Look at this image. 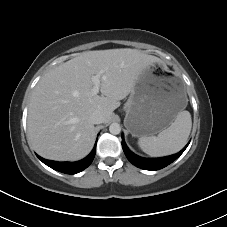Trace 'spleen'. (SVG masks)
<instances>
[{
	"instance_id": "obj_1",
	"label": "spleen",
	"mask_w": 227,
	"mask_h": 227,
	"mask_svg": "<svg viewBox=\"0 0 227 227\" xmlns=\"http://www.w3.org/2000/svg\"><path fill=\"white\" fill-rule=\"evenodd\" d=\"M192 127L188 111L177 114L174 122L157 136L140 137L139 147L153 157L167 156L180 151L187 143Z\"/></svg>"
}]
</instances>
